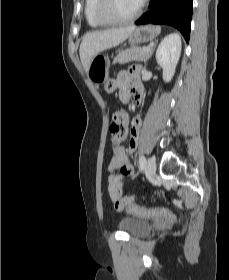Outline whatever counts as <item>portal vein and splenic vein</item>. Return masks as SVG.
<instances>
[{
	"mask_svg": "<svg viewBox=\"0 0 229 280\" xmlns=\"http://www.w3.org/2000/svg\"><path fill=\"white\" fill-rule=\"evenodd\" d=\"M143 51H144V52H150V51H151V49H150V48H148V47H144V48H143Z\"/></svg>",
	"mask_w": 229,
	"mask_h": 280,
	"instance_id": "obj_1",
	"label": "portal vein and splenic vein"
}]
</instances>
